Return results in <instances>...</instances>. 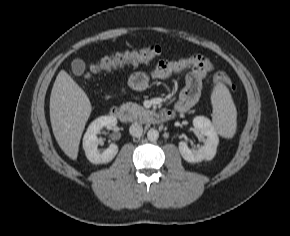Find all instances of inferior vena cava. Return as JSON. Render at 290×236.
Segmentation results:
<instances>
[{
    "instance_id": "obj_1",
    "label": "inferior vena cava",
    "mask_w": 290,
    "mask_h": 236,
    "mask_svg": "<svg viewBox=\"0 0 290 236\" xmlns=\"http://www.w3.org/2000/svg\"><path fill=\"white\" fill-rule=\"evenodd\" d=\"M129 132L134 137H140L143 133V127L138 123H134L130 126Z\"/></svg>"
}]
</instances>
